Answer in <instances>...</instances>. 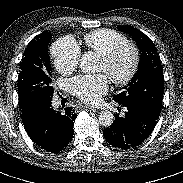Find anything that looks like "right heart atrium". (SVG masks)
<instances>
[{
    "instance_id": "obj_1",
    "label": "right heart atrium",
    "mask_w": 183,
    "mask_h": 183,
    "mask_svg": "<svg viewBox=\"0 0 183 183\" xmlns=\"http://www.w3.org/2000/svg\"><path fill=\"white\" fill-rule=\"evenodd\" d=\"M55 68L62 74L73 72L79 63L80 48L71 37H62L52 46Z\"/></svg>"
}]
</instances>
